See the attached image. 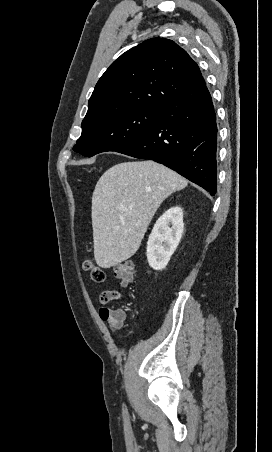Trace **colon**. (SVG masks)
<instances>
[{
	"mask_svg": "<svg viewBox=\"0 0 272 452\" xmlns=\"http://www.w3.org/2000/svg\"><path fill=\"white\" fill-rule=\"evenodd\" d=\"M84 270L90 272L91 278L97 283H102L106 279L104 270L95 264L92 259H86L83 262ZM115 276L124 284H129L134 280V265L130 261L117 264L114 268Z\"/></svg>",
	"mask_w": 272,
	"mask_h": 452,
	"instance_id": "1",
	"label": "colon"
}]
</instances>
